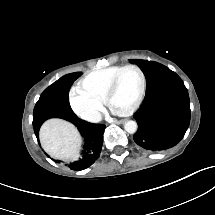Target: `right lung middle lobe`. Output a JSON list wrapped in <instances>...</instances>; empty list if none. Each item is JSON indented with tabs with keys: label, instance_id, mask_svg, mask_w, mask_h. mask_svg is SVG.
<instances>
[{
	"label": "right lung middle lobe",
	"instance_id": "dd1d6c3e",
	"mask_svg": "<svg viewBox=\"0 0 215 215\" xmlns=\"http://www.w3.org/2000/svg\"><path fill=\"white\" fill-rule=\"evenodd\" d=\"M80 73L62 77L49 86L40 96L33 112V122L43 117L64 115L75 117L69 104V90L72 83L80 76Z\"/></svg>",
	"mask_w": 215,
	"mask_h": 215
}]
</instances>
